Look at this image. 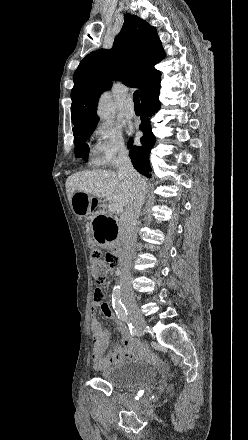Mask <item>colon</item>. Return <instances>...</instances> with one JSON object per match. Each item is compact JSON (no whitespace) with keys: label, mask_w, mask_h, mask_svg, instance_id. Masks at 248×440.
<instances>
[{"label":"colon","mask_w":248,"mask_h":440,"mask_svg":"<svg viewBox=\"0 0 248 440\" xmlns=\"http://www.w3.org/2000/svg\"><path fill=\"white\" fill-rule=\"evenodd\" d=\"M117 266V258L111 254L107 253L104 260L101 259V252L99 249L94 248L91 251V268L94 278L97 282H104L107 278V274L111 267ZM104 298V293L101 288L97 287L94 292V299L102 300Z\"/></svg>","instance_id":"1"}]
</instances>
